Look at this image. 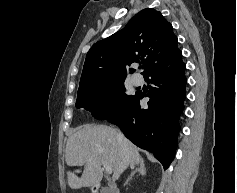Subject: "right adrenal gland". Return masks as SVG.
<instances>
[{"label": "right adrenal gland", "instance_id": "right-adrenal-gland-1", "mask_svg": "<svg viewBox=\"0 0 237 193\" xmlns=\"http://www.w3.org/2000/svg\"><path fill=\"white\" fill-rule=\"evenodd\" d=\"M137 165H138V167L135 170H133V172L130 174V176L126 180L124 186H126L129 183V181L133 178V176L136 173H139L141 175H146V168H145L144 161H140Z\"/></svg>", "mask_w": 237, "mask_h": 193}]
</instances>
